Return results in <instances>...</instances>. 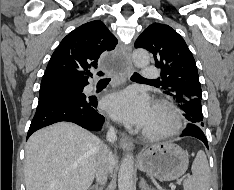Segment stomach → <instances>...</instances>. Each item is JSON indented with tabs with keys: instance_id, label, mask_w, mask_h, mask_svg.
<instances>
[{
	"instance_id": "1",
	"label": "stomach",
	"mask_w": 234,
	"mask_h": 190,
	"mask_svg": "<svg viewBox=\"0 0 234 190\" xmlns=\"http://www.w3.org/2000/svg\"><path fill=\"white\" fill-rule=\"evenodd\" d=\"M188 155L171 142L154 144L140 155L138 167L160 181H172L181 177L188 168Z\"/></svg>"
}]
</instances>
